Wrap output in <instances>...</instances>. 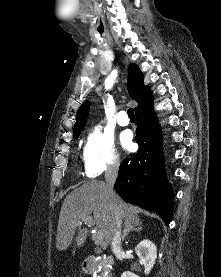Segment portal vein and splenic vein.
<instances>
[{"label":"portal vein and splenic vein","mask_w":221,"mask_h":277,"mask_svg":"<svg viewBox=\"0 0 221 277\" xmlns=\"http://www.w3.org/2000/svg\"><path fill=\"white\" fill-rule=\"evenodd\" d=\"M82 223L88 224V225H94L95 221L91 217H86L82 221L78 223V225H81ZM94 241L96 245H102L104 244V234L101 231H98L94 234Z\"/></svg>","instance_id":"1"}]
</instances>
